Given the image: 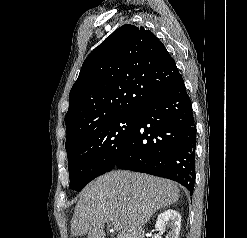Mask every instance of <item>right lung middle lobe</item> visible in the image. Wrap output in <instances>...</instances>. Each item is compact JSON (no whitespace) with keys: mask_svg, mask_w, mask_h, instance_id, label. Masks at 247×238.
I'll return each instance as SVG.
<instances>
[{"mask_svg":"<svg viewBox=\"0 0 247 238\" xmlns=\"http://www.w3.org/2000/svg\"><path fill=\"white\" fill-rule=\"evenodd\" d=\"M136 123L137 113L120 115L89 128L66 145L70 188L81 191L91 180L111 171Z\"/></svg>","mask_w":247,"mask_h":238,"instance_id":"dd1d6c3e","label":"right lung middle lobe"}]
</instances>
